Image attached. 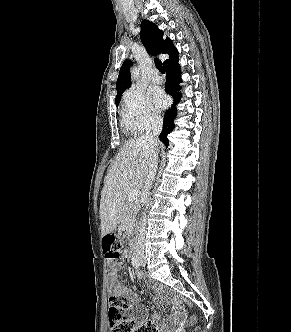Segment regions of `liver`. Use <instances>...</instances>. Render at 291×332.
<instances>
[{
  "label": "liver",
  "mask_w": 291,
  "mask_h": 332,
  "mask_svg": "<svg viewBox=\"0 0 291 332\" xmlns=\"http://www.w3.org/2000/svg\"><path fill=\"white\" fill-rule=\"evenodd\" d=\"M148 150L140 138L127 141L108 170L101 191V234L111 233L122 221L123 204L131 190L144 186L148 175Z\"/></svg>",
  "instance_id": "1"
}]
</instances>
